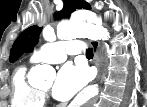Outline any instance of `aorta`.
<instances>
[{
	"instance_id": "aorta-1",
	"label": "aorta",
	"mask_w": 147,
	"mask_h": 107,
	"mask_svg": "<svg viewBox=\"0 0 147 107\" xmlns=\"http://www.w3.org/2000/svg\"><path fill=\"white\" fill-rule=\"evenodd\" d=\"M45 39L50 38L49 30L43 32ZM57 36L59 39H72L76 37L91 38L95 40H108L109 33L106 28L98 25L94 20H85L83 17H74L69 21L60 22L57 26ZM55 78V70L49 65H37L31 70V84H39L47 79ZM88 93L92 96L89 102L94 100L97 93V87L88 89Z\"/></svg>"
}]
</instances>
